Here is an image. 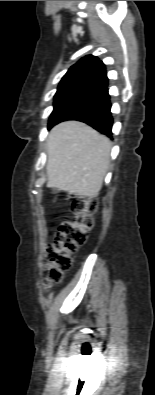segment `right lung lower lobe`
<instances>
[{
  "instance_id": "98d812e1",
  "label": "right lung lower lobe",
  "mask_w": 155,
  "mask_h": 395,
  "mask_svg": "<svg viewBox=\"0 0 155 395\" xmlns=\"http://www.w3.org/2000/svg\"><path fill=\"white\" fill-rule=\"evenodd\" d=\"M109 99L108 89L105 88L96 100L64 120H79L111 137L113 120L110 112L111 103Z\"/></svg>"
}]
</instances>
